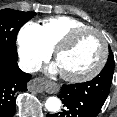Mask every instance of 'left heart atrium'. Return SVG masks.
I'll list each match as a JSON object with an SVG mask.
<instances>
[{
	"label": "left heart atrium",
	"mask_w": 117,
	"mask_h": 117,
	"mask_svg": "<svg viewBox=\"0 0 117 117\" xmlns=\"http://www.w3.org/2000/svg\"><path fill=\"white\" fill-rule=\"evenodd\" d=\"M59 68H58V65L57 64H54L50 67V72L52 73H56V72H59Z\"/></svg>",
	"instance_id": "1"
}]
</instances>
